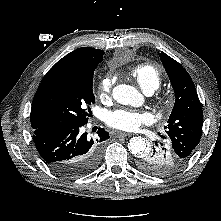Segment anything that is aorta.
Here are the masks:
<instances>
[{
	"mask_svg": "<svg viewBox=\"0 0 221 221\" xmlns=\"http://www.w3.org/2000/svg\"><path fill=\"white\" fill-rule=\"evenodd\" d=\"M112 97L115 101L123 105H137L141 100V95L136 88L126 84H120L113 88ZM128 149L136 157H142L150 149L145 138L141 136L133 137L128 143Z\"/></svg>",
	"mask_w": 221,
	"mask_h": 221,
	"instance_id": "obj_1",
	"label": "aorta"
}]
</instances>
